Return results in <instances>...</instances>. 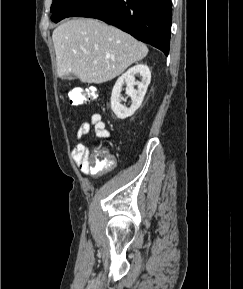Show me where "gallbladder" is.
Segmentation results:
<instances>
[{"instance_id":"obj_1","label":"gallbladder","mask_w":243,"mask_h":289,"mask_svg":"<svg viewBox=\"0 0 243 289\" xmlns=\"http://www.w3.org/2000/svg\"><path fill=\"white\" fill-rule=\"evenodd\" d=\"M61 78L62 79H68V80H74V79H76V76L71 73V74H69L67 76H62Z\"/></svg>"}]
</instances>
